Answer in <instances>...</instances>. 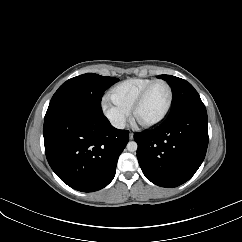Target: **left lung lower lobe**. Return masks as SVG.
<instances>
[{"label":"left lung lower lobe","instance_id":"left-lung-lower-lobe-1","mask_svg":"<svg viewBox=\"0 0 242 242\" xmlns=\"http://www.w3.org/2000/svg\"><path fill=\"white\" fill-rule=\"evenodd\" d=\"M137 158L148 180L161 187L188 181L203 162L208 146V118L204 105L167 117L156 129L136 133Z\"/></svg>","mask_w":242,"mask_h":242}]
</instances>
